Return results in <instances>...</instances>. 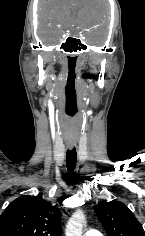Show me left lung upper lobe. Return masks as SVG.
Instances as JSON below:
<instances>
[{"label":"left lung upper lobe","mask_w":145,"mask_h":236,"mask_svg":"<svg viewBox=\"0 0 145 236\" xmlns=\"http://www.w3.org/2000/svg\"><path fill=\"white\" fill-rule=\"evenodd\" d=\"M94 209L109 236H144L142 225L123 203L102 201Z\"/></svg>","instance_id":"obj_1"}]
</instances>
